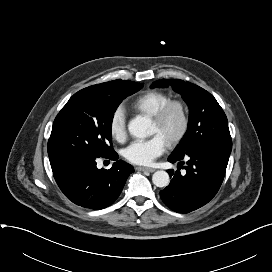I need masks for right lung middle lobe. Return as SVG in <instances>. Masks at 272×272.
Masks as SVG:
<instances>
[{
	"instance_id": "1",
	"label": "right lung middle lobe",
	"mask_w": 272,
	"mask_h": 272,
	"mask_svg": "<svg viewBox=\"0 0 272 272\" xmlns=\"http://www.w3.org/2000/svg\"><path fill=\"white\" fill-rule=\"evenodd\" d=\"M142 87V83L126 80L112 94L75 93L54 120L47 146L50 163L64 157H104L114 153V113L123 99Z\"/></svg>"
}]
</instances>
